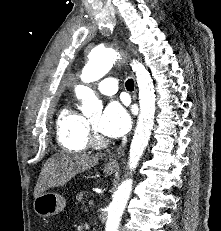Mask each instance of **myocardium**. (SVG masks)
<instances>
[{"mask_svg": "<svg viewBox=\"0 0 221 231\" xmlns=\"http://www.w3.org/2000/svg\"><path fill=\"white\" fill-rule=\"evenodd\" d=\"M89 138L90 144L95 148H104L109 144V141L102 137L96 130V128L89 122Z\"/></svg>", "mask_w": 221, "mask_h": 231, "instance_id": "1", "label": "myocardium"}]
</instances>
